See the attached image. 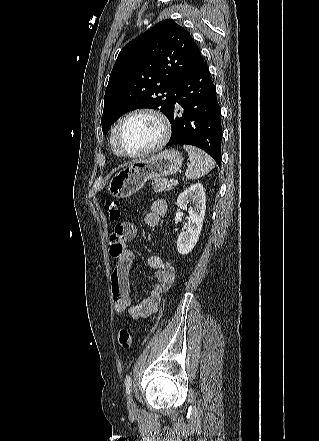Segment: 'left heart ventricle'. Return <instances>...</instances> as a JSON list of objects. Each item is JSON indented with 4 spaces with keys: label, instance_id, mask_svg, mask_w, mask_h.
<instances>
[{
    "label": "left heart ventricle",
    "instance_id": "1",
    "mask_svg": "<svg viewBox=\"0 0 319 441\" xmlns=\"http://www.w3.org/2000/svg\"><path fill=\"white\" fill-rule=\"evenodd\" d=\"M160 137V127L156 120L147 115L129 118L121 127L119 140L127 152H139L154 143Z\"/></svg>",
    "mask_w": 319,
    "mask_h": 441
}]
</instances>
